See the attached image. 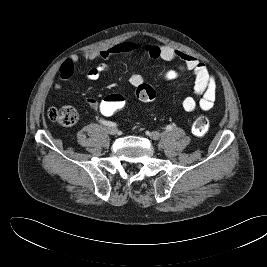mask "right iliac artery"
<instances>
[{"label":"right iliac artery","instance_id":"right-iliac-artery-1","mask_svg":"<svg viewBox=\"0 0 267 267\" xmlns=\"http://www.w3.org/2000/svg\"><path fill=\"white\" fill-rule=\"evenodd\" d=\"M99 123H101L104 126H109V127L117 126L116 123L111 122V121L100 120Z\"/></svg>","mask_w":267,"mask_h":267}]
</instances>
